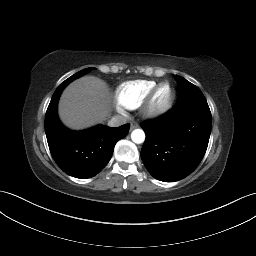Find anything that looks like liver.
<instances>
[{"mask_svg": "<svg viewBox=\"0 0 256 256\" xmlns=\"http://www.w3.org/2000/svg\"><path fill=\"white\" fill-rule=\"evenodd\" d=\"M110 102L107 84L97 77L84 76L63 91L59 116L67 127L83 129L103 122L109 114Z\"/></svg>", "mask_w": 256, "mask_h": 256, "instance_id": "obj_1", "label": "liver"}]
</instances>
